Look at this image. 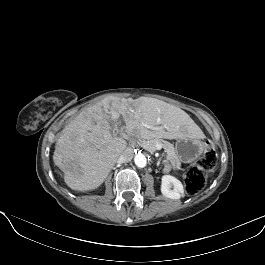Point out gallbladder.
Segmentation results:
<instances>
[{
	"mask_svg": "<svg viewBox=\"0 0 265 265\" xmlns=\"http://www.w3.org/2000/svg\"><path fill=\"white\" fill-rule=\"evenodd\" d=\"M115 122L118 123L117 120H116ZM113 134H114V135H118V130H117L116 128L113 129Z\"/></svg>",
	"mask_w": 265,
	"mask_h": 265,
	"instance_id": "gallbladder-1",
	"label": "gallbladder"
}]
</instances>
